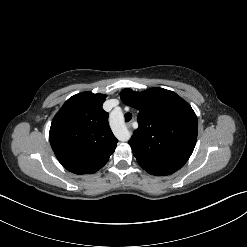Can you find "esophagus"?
Here are the masks:
<instances>
[{
  "instance_id": "1",
  "label": "esophagus",
  "mask_w": 247,
  "mask_h": 247,
  "mask_svg": "<svg viewBox=\"0 0 247 247\" xmlns=\"http://www.w3.org/2000/svg\"><path fill=\"white\" fill-rule=\"evenodd\" d=\"M126 125H127V127H129L131 125V122L126 123Z\"/></svg>"
}]
</instances>
